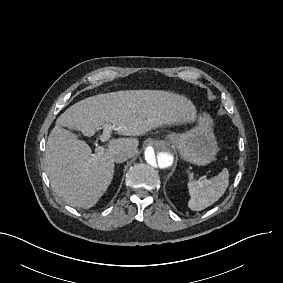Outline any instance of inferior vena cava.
Wrapping results in <instances>:
<instances>
[{"label": "inferior vena cava", "mask_w": 283, "mask_h": 283, "mask_svg": "<svg viewBox=\"0 0 283 283\" xmlns=\"http://www.w3.org/2000/svg\"><path fill=\"white\" fill-rule=\"evenodd\" d=\"M134 156V151L131 150L130 148H118L115 153H114V161L116 163H123L127 159L131 158Z\"/></svg>", "instance_id": "602c4592"}]
</instances>
